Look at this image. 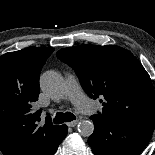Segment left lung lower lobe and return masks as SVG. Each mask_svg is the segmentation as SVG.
<instances>
[{
	"mask_svg": "<svg viewBox=\"0 0 155 155\" xmlns=\"http://www.w3.org/2000/svg\"><path fill=\"white\" fill-rule=\"evenodd\" d=\"M94 132L88 143L95 155H139L150 141L155 119L91 117Z\"/></svg>",
	"mask_w": 155,
	"mask_h": 155,
	"instance_id": "obj_1",
	"label": "left lung lower lobe"
}]
</instances>
